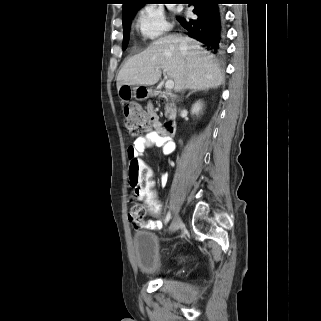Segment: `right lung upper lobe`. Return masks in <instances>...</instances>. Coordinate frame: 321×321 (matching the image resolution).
Returning <instances> with one entry per match:
<instances>
[{
  "instance_id": "1",
  "label": "right lung upper lobe",
  "mask_w": 321,
  "mask_h": 321,
  "mask_svg": "<svg viewBox=\"0 0 321 321\" xmlns=\"http://www.w3.org/2000/svg\"><path fill=\"white\" fill-rule=\"evenodd\" d=\"M150 1L159 0H123L122 15L139 10V8Z\"/></svg>"
}]
</instances>
